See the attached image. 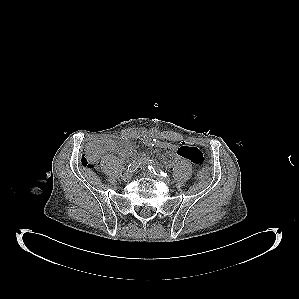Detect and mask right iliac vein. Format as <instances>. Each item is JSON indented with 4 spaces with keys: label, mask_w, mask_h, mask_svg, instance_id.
Masks as SVG:
<instances>
[{
    "label": "right iliac vein",
    "mask_w": 299,
    "mask_h": 299,
    "mask_svg": "<svg viewBox=\"0 0 299 299\" xmlns=\"http://www.w3.org/2000/svg\"><path fill=\"white\" fill-rule=\"evenodd\" d=\"M121 178L125 182L130 181V179L132 178V173L127 171L121 176Z\"/></svg>",
    "instance_id": "right-iliac-vein-1"
}]
</instances>
